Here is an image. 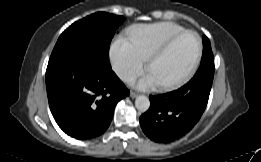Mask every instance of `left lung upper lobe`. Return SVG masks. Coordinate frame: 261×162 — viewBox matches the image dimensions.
<instances>
[{
    "mask_svg": "<svg viewBox=\"0 0 261 162\" xmlns=\"http://www.w3.org/2000/svg\"><path fill=\"white\" fill-rule=\"evenodd\" d=\"M203 71L214 72V56L212 53L210 41L206 36H203V54L197 73Z\"/></svg>",
    "mask_w": 261,
    "mask_h": 162,
    "instance_id": "1",
    "label": "left lung upper lobe"
}]
</instances>
